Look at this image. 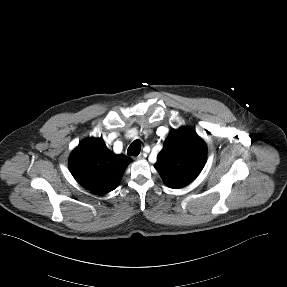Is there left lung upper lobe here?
<instances>
[{"label": "left lung upper lobe", "instance_id": "obj_1", "mask_svg": "<svg viewBox=\"0 0 287 287\" xmlns=\"http://www.w3.org/2000/svg\"><path fill=\"white\" fill-rule=\"evenodd\" d=\"M207 157L205 142L191 129H173L154 165L165 184L170 188H182L201 172Z\"/></svg>", "mask_w": 287, "mask_h": 287}]
</instances>
